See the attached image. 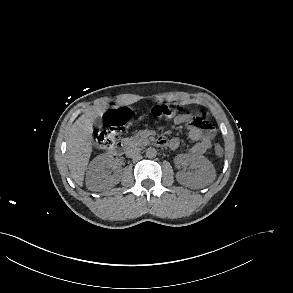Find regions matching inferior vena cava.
Wrapping results in <instances>:
<instances>
[{
	"instance_id": "obj_1",
	"label": "inferior vena cava",
	"mask_w": 293,
	"mask_h": 293,
	"mask_svg": "<svg viewBox=\"0 0 293 293\" xmlns=\"http://www.w3.org/2000/svg\"><path fill=\"white\" fill-rule=\"evenodd\" d=\"M140 152H141V149L138 148V147L131 148V149L127 150V152H126V156H127V157H134V156L139 155Z\"/></svg>"
}]
</instances>
